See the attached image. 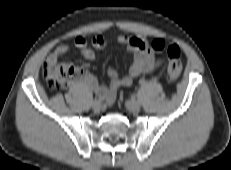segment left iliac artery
I'll list each match as a JSON object with an SVG mask.
<instances>
[{"label": "left iliac artery", "instance_id": "1", "mask_svg": "<svg viewBox=\"0 0 231 170\" xmlns=\"http://www.w3.org/2000/svg\"><path fill=\"white\" fill-rule=\"evenodd\" d=\"M140 84H141V85H144V84H145V81H144V80H140Z\"/></svg>", "mask_w": 231, "mask_h": 170}]
</instances>
